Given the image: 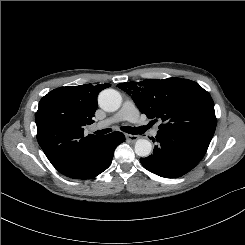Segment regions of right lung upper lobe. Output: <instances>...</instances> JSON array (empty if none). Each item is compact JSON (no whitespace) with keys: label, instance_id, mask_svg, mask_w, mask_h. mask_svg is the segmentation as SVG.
Returning <instances> with one entry per match:
<instances>
[{"label":"right lung upper lobe","instance_id":"right-lung-upper-lobe-1","mask_svg":"<svg viewBox=\"0 0 245 245\" xmlns=\"http://www.w3.org/2000/svg\"><path fill=\"white\" fill-rule=\"evenodd\" d=\"M110 84L60 87L45 95L35 114L37 140L51 164L67 172L83 163L102 136H84L94 121L97 96Z\"/></svg>","mask_w":245,"mask_h":245}]
</instances>
